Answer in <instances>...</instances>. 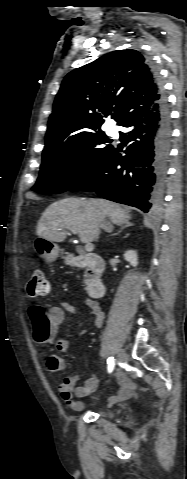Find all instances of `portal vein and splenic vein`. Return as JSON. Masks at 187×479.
<instances>
[{
  "instance_id": "portal-vein-and-splenic-vein-1",
  "label": "portal vein and splenic vein",
  "mask_w": 187,
  "mask_h": 479,
  "mask_svg": "<svg viewBox=\"0 0 187 479\" xmlns=\"http://www.w3.org/2000/svg\"><path fill=\"white\" fill-rule=\"evenodd\" d=\"M71 232L75 233V230L72 228H68ZM85 250L90 252L93 250V244L92 243H86L85 245Z\"/></svg>"
}]
</instances>
